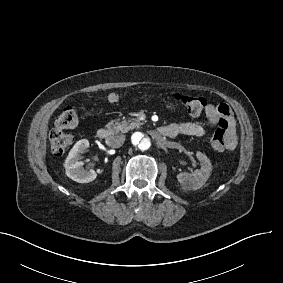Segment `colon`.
Segmentation results:
<instances>
[{"instance_id":"1","label":"colon","mask_w":283,"mask_h":283,"mask_svg":"<svg viewBox=\"0 0 283 283\" xmlns=\"http://www.w3.org/2000/svg\"><path fill=\"white\" fill-rule=\"evenodd\" d=\"M117 96H112L111 101H116ZM185 109L188 115L196 116L201 114L207 104L205 97L200 95L178 94L174 98ZM78 124V115L74 108H65L56 120L57 128L50 132V149L54 154H63L72 145V138L65 131L66 128L75 127ZM229 126V119H219L217 128L211 137V145L215 151H223L225 149V131Z\"/></svg>"}]
</instances>
